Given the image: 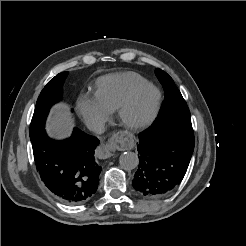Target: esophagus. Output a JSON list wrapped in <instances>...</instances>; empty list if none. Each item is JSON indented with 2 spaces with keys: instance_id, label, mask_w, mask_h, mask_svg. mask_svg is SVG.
Listing matches in <instances>:
<instances>
[{
  "instance_id": "esophagus-1",
  "label": "esophagus",
  "mask_w": 246,
  "mask_h": 246,
  "mask_svg": "<svg viewBox=\"0 0 246 246\" xmlns=\"http://www.w3.org/2000/svg\"><path fill=\"white\" fill-rule=\"evenodd\" d=\"M97 155L100 159H107L113 156V147L110 143H101L97 148Z\"/></svg>"
}]
</instances>
